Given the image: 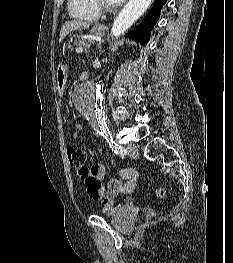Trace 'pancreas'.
I'll list each match as a JSON object with an SVG mask.
<instances>
[{
    "instance_id": "cf45deb5",
    "label": "pancreas",
    "mask_w": 233,
    "mask_h": 263,
    "mask_svg": "<svg viewBox=\"0 0 233 263\" xmlns=\"http://www.w3.org/2000/svg\"><path fill=\"white\" fill-rule=\"evenodd\" d=\"M93 43H94V41H92L91 39H81L78 42H76V45L79 48L87 50L90 47V45L93 44Z\"/></svg>"
}]
</instances>
